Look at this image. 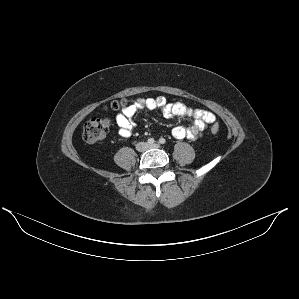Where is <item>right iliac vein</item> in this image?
Listing matches in <instances>:
<instances>
[{
    "label": "right iliac vein",
    "mask_w": 299,
    "mask_h": 299,
    "mask_svg": "<svg viewBox=\"0 0 299 299\" xmlns=\"http://www.w3.org/2000/svg\"><path fill=\"white\" fill-rule=\"evenodd\" d=\"M136 149L139 151V152H143L147 149V145L143 142L139 143L137 146H136Z\"/></svg>",
    "instance_id": "right-iliac-vein-1"
}]
</instances>
